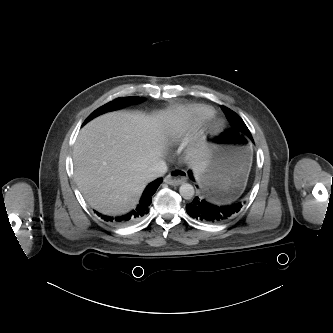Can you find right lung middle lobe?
<instances>
[{
	"label": "right lung middle lobe",
	"instance_id": "dd1d6c3e",
	"mask_svg": "<svg viewBox=\"0 0 333 333\" xmlns=\"http://www.w3.org/2000/svg\"><path fill=\"white\" fill-rule=\"evenodd\" d=\"M143 100H144L143 97H137V96L117 98V99L105 104L104 106L96 109L92 114H90V116L86 119L84 124L100 114H103L108 111L120 109V108L125 107L130 104H136Z\"/></svg>",
	"mask_w": 333,
	"mask_h": 333
}]
</instances>
